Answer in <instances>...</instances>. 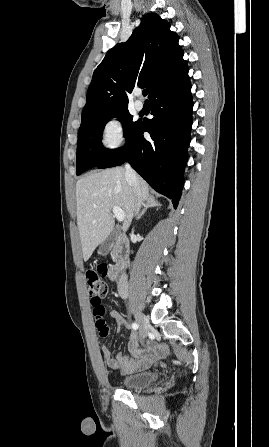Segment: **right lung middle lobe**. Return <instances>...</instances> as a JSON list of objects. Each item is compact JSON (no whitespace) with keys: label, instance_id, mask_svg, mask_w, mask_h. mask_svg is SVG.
Wrapping results in <instances>:
<instances>
[{"label":"right lung middle lobe","instance_id":"dd1d6c3e","mask_svg":"<svg viewBox=\"0 0 269 447\" xmlns=\"http://www.w3.org/2000/svg\"><path fill=\"white\" fill-rule=\"evenodd\" d=\"M113 117L122 121L126 140L137 129L141 122L132 121L128 108L108 112L91 123L81 127L77 141L76 174L97 167L107 160L118 149L109 150L103 147L101 136L105 124Z\"/></svg>","mask_w":269,"mask_h":447}]
</instances>
